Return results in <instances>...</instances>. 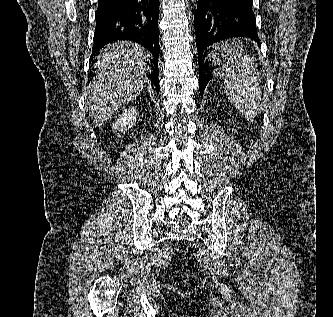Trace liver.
<instances>
[{
    "label": "liver",
    "mask_w": 333,
    "mask_h": 317,
    "mask_svg": "<svg viewBox=\"0 0 333 317\" xmlns=\"http://www.w3.org/2000/svg\"><path fill=\"white\" fill-rule=\"evenodd\" d=\"M101 52L97 75L85 91L89 114L97 126L141 94L149 69L143 62L148 52L136 43H112Z\"/></svg>",
    "instance_id": "6515ba94"
}]
</instances>
